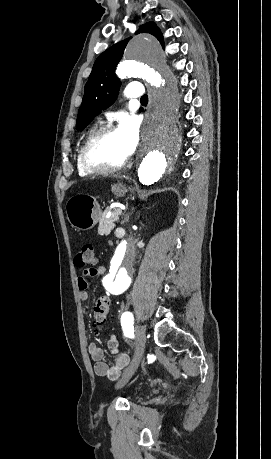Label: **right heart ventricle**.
<instances>
[{"instance_id":"1","label":"right heart ventricle","mask_w":271,"mask_h":459,"mask_svg":"<svg viewBox=\"0 0 271 459\" xmlns=\"http://www.w3.org/2000/svg\"><path fill=\"white\" fill-rule=\"evenodd\" d=\"M98 128V125L97 124H94L92 125L83 135L80 143L78 144V147H77V150H76V155H75V163H76V169H77V173L80 177L82 178H91V177H94L95 175H97L99 172H96V171H91V170H88L82 163L81 161V156H80V150H81V146L83 144V142L85 141V139L90 135L92 134L96 129Z\"/></svg>"}]
</instances>
